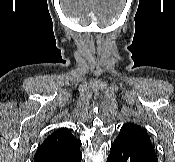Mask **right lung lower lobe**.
I'll return each mask as SVG.
<instances>
[{
	"label": "right lung lower lobe",
	"instance_id": "1",
	"mask_svg": "<svg viewBox=\"0 0 175 162\" xmlns=\"http://www.w3.org/2000/svg\"><path fill=\"white\" fill-rule=\"evenodd\" d=\"M82 153L79 151L73 153H58L38 158L35 162H80Z\"/></svg>",
	"mask_w": 175,
	"mask_h": 162
}]
</instances>
